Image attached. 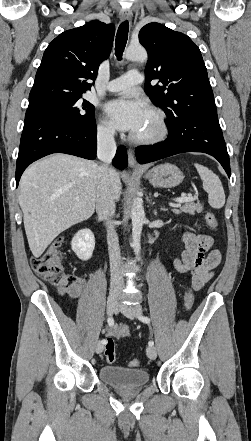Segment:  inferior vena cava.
<instances>
[{
  "label": "inferior vena cava",
  "mask_w": 251,
  "mask_h": 441,
  "mask_svg": "<svg viewBox=\"0 0 251 441\" xmlns=\"http://www.w3.org/2000/svg\"><path fill=\"white\" fill-rule=\"evenodd\" d=\"M113 129H102L97 135V157L102 161L98 168L96 190V212L100 219L106 222L107 243L110 259V293L120 292L123 287V271L121 270V255L118 236L111 219L115 213L114 192L115 174L110 163L116 153V143Z\"/></svg>",
  "instance_id": "obj_1"
}]
</instances>
